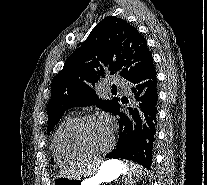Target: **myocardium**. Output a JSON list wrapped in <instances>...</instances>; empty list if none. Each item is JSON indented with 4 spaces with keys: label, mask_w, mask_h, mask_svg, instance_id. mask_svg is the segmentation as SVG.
Returning a JSON list of instances; mask_svg holds the SVG:
<instances>
[{
    "label": "myocardium",
    "mask_w": 207,
    "mask_h": 185,
    "mask_svg": "<svg viewBox=\"0 0 207 185\" xmlns=\"http://www.w3.org/2000/svg\"><path fill=\"white\" fill-rule=\"evenodd\" d=\"M91 120H100V119L95 115L81 116L79 118H76L72 122L70 127L68 128L67 133H66V137H65V142H66V145H67L69 151L72 154L77 155V156H85L88 158L103 157L107 154L108 148L103 151L93 152V151H90V150L83 148L76 141V132L79 129V127L83 123H85L87 121H91ZM110 128H111V143H113L116 139V130L113 126H111Z\"/></svg>",
    "instance_id": "obj_1"
}]
</instances>
